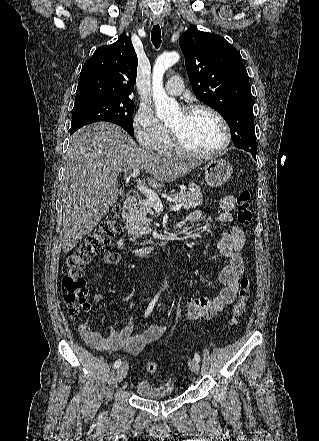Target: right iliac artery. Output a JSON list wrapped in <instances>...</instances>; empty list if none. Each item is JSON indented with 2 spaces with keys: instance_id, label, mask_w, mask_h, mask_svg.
Returning <instances> with one entry per match:
<instances>
[{
  "instance_id": "obj_1",
  "label": "right iliac artery",
  "mask_w": 319,
  "mask_h": 441,
  "mask_svg": "<svg viewBox=\"0 0 319 441\" xmlns=\"http://www.w3.org/2000/svg\"><path fill=\"white\" fill-rule=\"evenodd\" d=\"M158 297H159V293L154 297V299L148 305V308L145 312V317H147L152 312ZM120 365H121V359H118L114 364V368L117 369Z\"/></svg>"
}]
</instances>
